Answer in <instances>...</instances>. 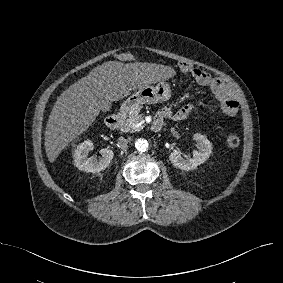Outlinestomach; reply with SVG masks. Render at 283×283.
I'll use <instances>...</instances> for the list:
<instances>
[{
	"instance_id": "1",
	"label": "stomach",
	"mask_w": 283,
	"mask_h": 283,
	"mask_svg": "<svg viewBox=\"0 0 283 283\" xmlns=\"http://www.w3.org/2000/svg\"><path fill=\"white\" fill-rule=\"evenodd\" d=\"M171 95V87L164 81L156 85L145 86L129 95L121 105V111L129 112L142 104L162 103L169 100Z\"/></svg>"
}]
</instances>
